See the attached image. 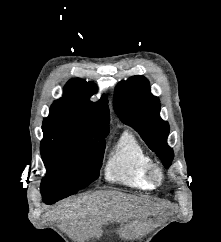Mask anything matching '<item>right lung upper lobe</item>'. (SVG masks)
Instances as JSON below:
<instances>
[{"instance_id": "cb5924a9", "label": "right lung upper lobe", "mask_w": 221, "mask_h": 242, "mask_svg": "<svg viewBox=\"0 0 221 242\" xmlns=\"http://www.w3.org/2000/svg\"><path fill=\"white\" fill-rule=\"evenodd\" d=\"M95 92V84L71 79L65 85L63 97L52 104L42 128L74 130L88 136L106 137L109 133L108 99L103 95L97 103L89 101Z\"/></svg>"}]
</instances>
